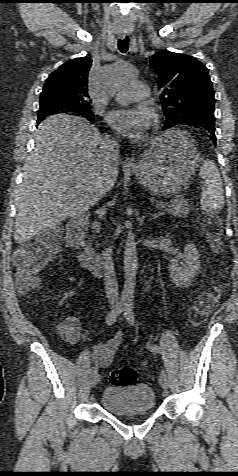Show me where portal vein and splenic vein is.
Wrapping results in <instances>:
<instances>
[{
  "label": "portal vein and splenic vein",
  "mask_w": 238,
  "mask_h": 476,
  "mask_svg": "<svg viewBox=\"0 0 238 476\" xmlns=\"http://www.w3.org/2000/svg\"><path fill=\"white\" fill-rule=\"evenodd\" d=\"M167 204H168V202L163 201V202H157V203L155 204V206H156V207H160V206H164V205H167Z\"/></svg>",
  "instance_id": "obj_1"
}]
</instances>
